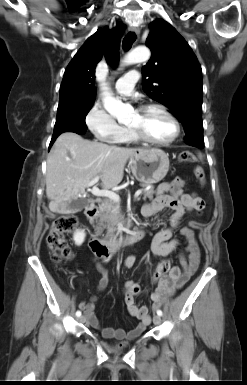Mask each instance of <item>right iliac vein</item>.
Segmentation results:
<instances>
[{
	"label": "right iliac vein",
	"instance_id": "1",
	"mask_svg": "<svg viewBox=\"0 0 247 385\" xmlns=\"http://www.w3.org/2000/svg\"><path fill=\"white\" fill-rule=\"evenodd\" d=\"M78 321L81 323L85 322V317L84 316L79 317Z\"/></svg>",
	"mask_w": 247,
	"mask_h": 385
}]
</instances>
